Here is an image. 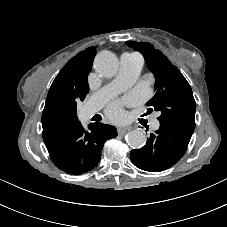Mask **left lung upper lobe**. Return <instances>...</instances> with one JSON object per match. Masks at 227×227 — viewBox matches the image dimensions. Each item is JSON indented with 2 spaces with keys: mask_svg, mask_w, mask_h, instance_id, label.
Segmentation results:
<instances>
[{
  "mask_svg": "<svg viewBox=\"0 0 227 227\" xmlns=\"http://www.w3.org/2000/svg\"><path fill=\"white\" fill-rule=\"evenodd\" d=\"M127 44L142 53L155 76V94L147 103L149 110L160 113L159 121L177 122L194 129L196 102L182 73L152 44L133 41Z\"/></svg>",
  "mask_w": 227,
  "mask_h": 227,
  "instance_id": "1",
  "label": "left lung upper lobe"
}]
</instances>
